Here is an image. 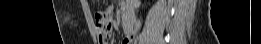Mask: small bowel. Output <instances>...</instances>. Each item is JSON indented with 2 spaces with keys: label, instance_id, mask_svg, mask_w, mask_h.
<instances>
[{
  "label": "small bowel",
  "instance_id": "small-bowel-1",
  "mask_svg": "<svg viewBox=\"0 0 261 44\" xmlns=\"http://www.w3.org/2000/svg\"><path fill=\"white\" fill-rule=\"evenodd\" d=\"M109 11H111V8L109 9ZM121 11L123 16H131L132 18H134V21L136 23V19L133 13V9L132 7L129 5V3L127 2H122L121 3ZM109 22H112L114 19L113 17L109 14L108 19ZM135 23L133 26V31L130 35H126V37L123 40V44H129L132 41L133 35L135 34ZM98 33L100 34V36L102 38H105L106 36L109 35V29H107V27H104L102 24H98L96 27Z\"/></svg>",
  "mask_w": 261,
  "mask_h": 44
}]
</instances>
